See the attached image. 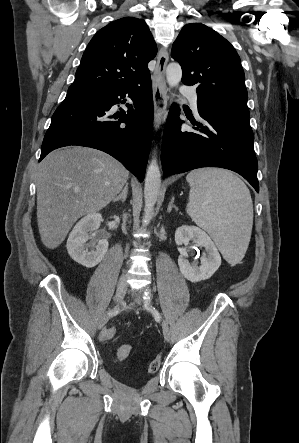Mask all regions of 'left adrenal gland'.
<instances>
[{
	"instance_id": "a2214340",
	"label": "left adrenal gland",
	"mask_w": 299,
	"mask_h": 443,
	"mask_svg": "<svg viewBox=\"0 0 299 443\" xmlns=\"http://www.w3.org/2000/svg\"><path fill=\"white\" fill-rule=\"evenodd\" d=\"M174 203V197L171 198V201L169 202L168 208H167V212L170 213L172 208H174L175 210H178V208L173 204Z\"/></svg>"
}]
</instances>
